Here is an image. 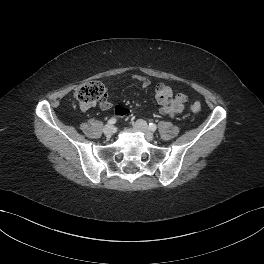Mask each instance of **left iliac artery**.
<instances>
[{
	"instance_id": "1",
	"label": "left iliac artery",
	"mask_w": 264,
	"mask_h": 264,
	"mask_svg": "<svg viewBox=\"0 0 264 264\" xmlns=\"http://www.w3.org/2000/svg\"><path fill=\"white\" fill-rule=\"evenodd\" d=\"M149 129H150L151 131H155V130L157 129L156 124H154V123H149Z\"/></svg>"
}]
</instances>
